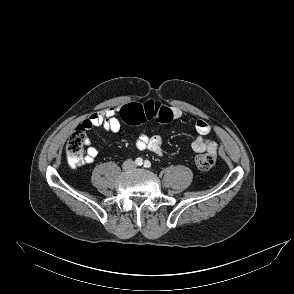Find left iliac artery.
<instances>
[{"instance_id":"left-iliac-artery-1","label":"left iliac artery","mask_w":294,"mask_h":294,"mask_svg":"<svg viewBox=\"0 0 294 294\" xmlns=\"http://www.w3.org/2000/svg\"><path fill=\"white\" fill-rule=\"evenodd\" d=\"M144 167H146V168H150V167H151V163H150V161L146 160V161L144 162Z\"/></svg>"}]
</instances>
